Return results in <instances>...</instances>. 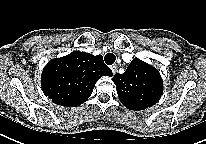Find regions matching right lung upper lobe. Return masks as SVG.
<instances>
[{
  "label": "right lung upper lobe",
  "mask_w": 206,
  "mask_h": 144,
  "mask_svg": "<svg viewBox=\"0 0 206 144\" xmlns=\"http://www.w3.org/2000/svg\"><path fill=\"white\" fill-rule=\"evenodd\" d=\"M104 75L113 73L101 55L73 51L48 62L42 72V91L55 104L76 107L90 97L95 83Z\"/></svg>",
  "instance_id": "right-lung-upper-lobe-1"
}]
</instances>
